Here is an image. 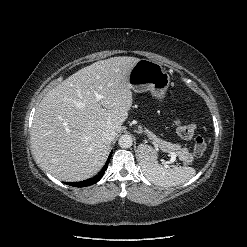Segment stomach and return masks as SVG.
<instances>
[{
  "label": "stomach",
  "instance_id": "stomach-1",
  "mask_svg": "<svg viewBox=\"0 0 247 247\" xmlns=\"http://www.w3.org/2000/svg\"><path fill=\"white\" fill-rule=\"evenodd\" d=\"M170 84V76L164 68L155 61L140 59L129 75V85L137 93L150 91L152 95L163 100ZM147 145H140L138 154L142 161L156 162L157 153Z\"/></svg>",
  "mask_w": 247,
  "mask_h": 247
}]
</instances>
